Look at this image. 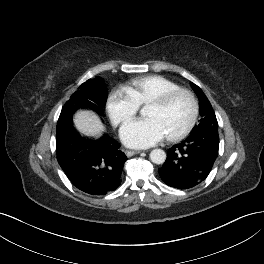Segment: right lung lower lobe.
<instances>
[{
  "label": "right lung lower lobe",
  "instance_id": "98d812e1",
  "mask_svg": "<svg viewBox=\"0 0 264 264\" xmlns=\"http://www.w3.org/2000/svg\"><path fill=\"white\" fill-rule=\"evenodd\" d=\"M119 147L108 134L91 140L73 126L56 138L59 165L76 188L90 195H105L119 187L127 160Z\"/></svg>",
  "mask_w": 264,
  "mask_h": 264
}]
</instances>
